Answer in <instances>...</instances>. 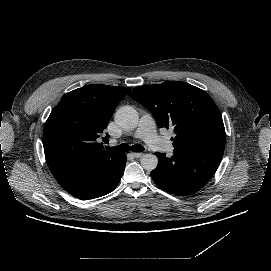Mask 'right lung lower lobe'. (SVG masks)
<instances>
[{
    "instance_id": "obj_1",
    "label": "right lung lower lobe",
    "mask_w": 271,
    "mask_h": 271,
    "mask_svg": "<svg viewBox=\"0 0 271 271\" xmlns=\"http://www.w3.org/2000/svg\"><path fill=\"white\" fill-rule=\"evenodd\" d=\"M126 160V155L121 153L114 161L98 165L63 188L79 199L104 196L117 187L124 173Z\"/></svg>"
}]
</instances>
